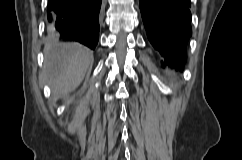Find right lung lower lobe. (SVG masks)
<instances>
[{
	"mask_svg": "<svg viewBox=\"0 0 242 160\" xmlns=\"http://www.w3.org/2000/svg\"><path fill=\"white\" fill-rule=\"evenodd\" d=\"M102 0H49L47 32L95 49Z\"/></svg>",
	"mask_w": 242,
	"mask_h": 160,
	"instance_id": "obj_1",
	"label": "right lung lower lobe"
}]
</instances>
